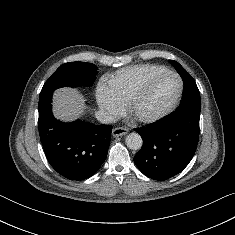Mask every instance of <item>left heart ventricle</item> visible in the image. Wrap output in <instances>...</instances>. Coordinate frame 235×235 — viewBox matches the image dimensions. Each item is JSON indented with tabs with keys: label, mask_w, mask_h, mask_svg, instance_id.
Here are the masks:
<instances>
[{
	"label": "left heart ventricle",
	"mask_w": 235,
	"mask_h": 235,
	"mask_svg": "<svg viewBox=\"0 0 235 235\" xmlns=\"http://www.w3.org/2000/svg\"><path fill=\"white\" fill-rule=\"evenodd\" d=\"M179 90V82L175 77L165 76L155 80L145 98L138 105L139 116L155 115L168 107Z\"/></svg>",
	"instance_id": "obj_1"
}]
</instances>
